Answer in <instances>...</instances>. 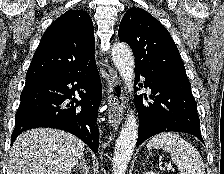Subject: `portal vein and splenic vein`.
Segmentation results:
<instances>
[{"label": "portal vein and splenic vein", "mask_w": 224, "mask_h": 174, "mask_svg": "<svg viewBox=\"0 0 224 174\" xmlns=\"http://www.w3.org/2000/svg\"><path fill=\"white\" fill-rule=\"evenodd\" d=\"M172 169V166L171 165H168L167 166V170H171Z\"/></svg>", "instance_id": "portal-vein-and-splenic-vein-1"}]
</instances>
